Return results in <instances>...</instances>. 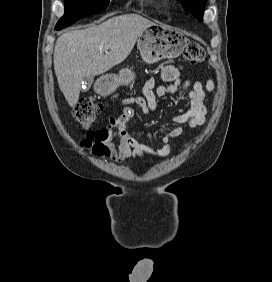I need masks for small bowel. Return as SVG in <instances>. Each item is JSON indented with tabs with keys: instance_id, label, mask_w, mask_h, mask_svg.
<instances>
[{
	"instance_id": "1",
	"label": "small bowel",
	"mask_w": 272,
	"mask_h": 282,
	"mask_svg": "<svg viewBox=\"0 0 272 282\" xmlns=\"http://www.w3.org/2000/svg\"><path fill=\"white\" fill-rule=\"evenodd\" d=\"M162 78L171 84L169 86H159L154 91V80H148L143 87V94L146 101L142 98L127 99L124 101L120 115L110 119V138L119 139L117 144H111L113 161L122 162L129 158H142L144 153L157 157L168 156L171 138H175L182 133L181 124H187L189 128L194 129L206 123V104L208 102V93L214 88L213 81L210 79L203 86L201 82L181 79L178 69L174 66H166L162 70ZM176 91H179L181 96L189 101V108L185 113L172 118L174 128L170 132L160 133L159 139L163 144L160 149H153L130 136L127 132V126L134 115L133 109L129 106L130 104H138L143 113L148 114L156 110L160 102V97Z\"/></svg>"
}]
</instances>
